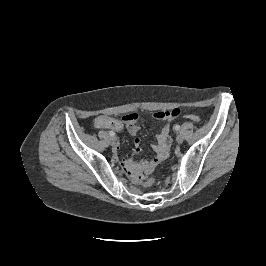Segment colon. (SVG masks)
<instances>
[{
  "mask_svg": "<svg viewBox=\"0 0 266 266\" xmlns=\"http://www.w3.org/2000/svg\"><path fill=\"white\" fill-rule=\"evenodd\" d=\"M185 117L193 122H199L200 117L195 115V114H187ZM154 184V179L153 178H147L144 182L145 187H150Z\"/></svg>",
  "mask_w": 266,
  "mask_h": 266,
  "instance_id": "obj_1",
  "label": "colon"
}]
</instances>
